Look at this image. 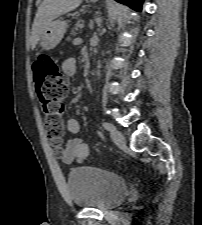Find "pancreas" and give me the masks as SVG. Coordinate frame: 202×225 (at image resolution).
<instances>
[{
    "label": "pancreas",
    "instance_id": "cf45deb5",
    "mask_svg": "<svg viewBox=\"0 0 202 225\" xmlns=\"http://www.w3.org/2000/svg\"><path fill=\"white\" fill-rule=\"evenodd\" d=\"M79 26H80V24H79V23H77V25H76V28H75V29H77ZM73 33H74V32H73Z\"/></svg>",
    "mask_w": 202,
    "mask_h": 225
}]
</instances>
